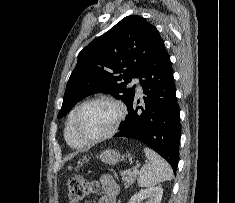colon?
Returning a JSON list of instances; mask_svg holds the SVG:
<instances>
[{
    "label": "colon",
    "mask_w": 235,
    "mask_h": 203,
    "mask_svg": "<svg viewBox=\"0 0 235 203\" xmlns=\"http://www.w3.org/2000/svg\"><path fill=\"white\" fill-rule=\"evenodd\" d=\"M97 190V183L84 177L74 176L68 180V199L70 203H81Z\"/></svg>",
    "instance_id": "5ec220e1"
}]
</instances>
